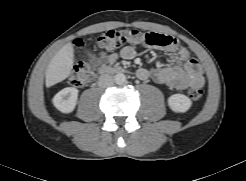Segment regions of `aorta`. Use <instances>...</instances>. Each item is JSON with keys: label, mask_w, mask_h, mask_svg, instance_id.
Instances as JSON below:
<instances>
[{"label": "aorta", "mask_w": 246, "mask_h": 181, "mask_svg": "<svg viewBox=\"0 0 246 181\" xmlns=\"http://www.w3.org/2000/svg\"><path fill=\"white\" fill-rule=\"evenodd\" d=\"M115 83L123 85L126 82V76L123 73H118L114 76Z\"/></svg>", "instance_id": "762f6f07"}]
</instances>
